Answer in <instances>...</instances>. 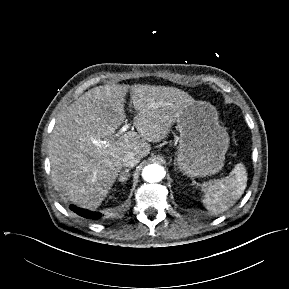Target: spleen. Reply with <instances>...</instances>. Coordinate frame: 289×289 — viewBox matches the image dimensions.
<instances>
[{
  "label": "spleen",
  "mask_w": 289,
  "mask_h": 289,
  "mask_svg": "<svg viewBox=\"0 0 289 289\" xmlns=\"http://www.w3.org/2000/svg\"><path fill=\"white\" fill-rule=\"evenodd\" d=\"M247 171L242 163L235 165L229 176L203 184V204L210 211L221 213L233 206L247 186Z\"/></svg>",
  "instance_id": "spleen-1"
}]
</instances>
